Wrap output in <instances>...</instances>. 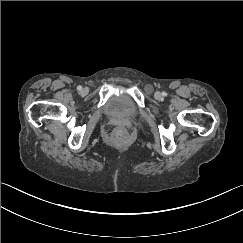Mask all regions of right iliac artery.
I'll return each mask as SVG.
<instances>
[{
	"label": "right iliac artery",
	"mask_w": 243,
	"mask_h": 243,
	"mask_svg": "<svg viewBox=\"0 0 243 243\" xmlns=\"http://www.w3.org/2000/svg\"><path fill=\"white\" fill-rule=\"evenodd\" d=\"M81 89H82V87H81V86H78V87H77V90H79V91H80Z\"/></svg>",
	"instance_id": "1"
}]
</instances>
